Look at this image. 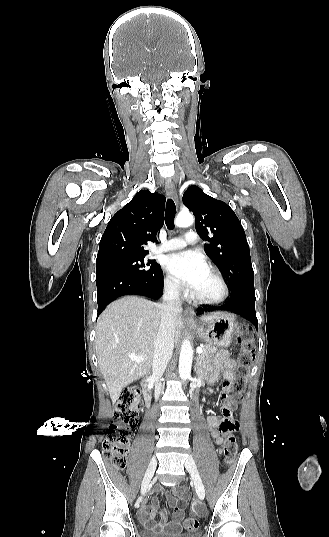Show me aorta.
Returning a JSON list of instances; mask_svg holds the SVG:
<instances>
[{
  "mask_svg": "<svg viewBox=\"0 0 329 537\" xmlns=\"http://www.w3.org/2000/svg\"><path fill=\"white\" fill-rule=\"evenodd\" d=\"M194 223V217L189 212H180L175 218V225L184 228ZM193 359V349L190 341L185 339L181 345L179 356V375L183 381L190 378Z\"/></svg>",
  "mask_w": 329,
  "mask_h": 537,
  "instance_id": "aorta-1",
  "label": "aorta"
}]
</instances>
